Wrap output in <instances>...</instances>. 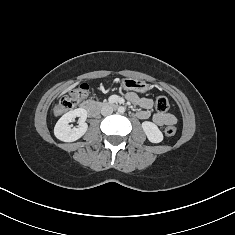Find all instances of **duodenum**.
I'll use <instances>...</instances> for the list:
<instances>
[{
	"label": "duodenum",
	"mask_w": 235,
	"mask_h": 235,
	"mask_svg": "<svg viewBox=\"0 0 235 235\" xmlns=\"http://www.w3.org/2000/svg\"><path fill=\"white\" fill-rule=\"evenodd\" d=\"M107 106H112L114 108L118 107V104H107ZM101 105L94 103V102H84L82 104V108L91 116L94 117L98 114L99 110H100Z\"/></svg>",
	"instance_id": "obj_1"
}]
</instances>
